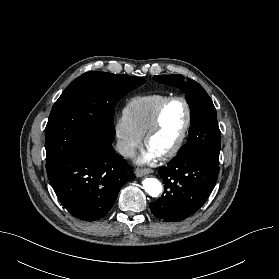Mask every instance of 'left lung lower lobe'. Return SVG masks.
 I'll return each mask as SVG.
<instances>
[{
	"mask_svg": "<svg viewBox=\"0 0 279 279\" xmlns=\"http://www.w3.org/2000/svg\"><path fill=\"white\" fill-rule=\"evenodd\" d=\"M164 194L150 203L152 213L165 221H180L194 214L212 192L219 173V162L195 153L175 156L159 167Z\"/></svg>",
	"mask_w": 279,
	"mask_h": 279,
	"instance_id": "1",
	"label": "left lung lower lobe"
}]
</instances>
